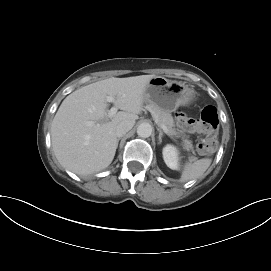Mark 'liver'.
Instances as JSON below:
<instances>
[{
	"instance_id": "liver-1",
	"label": "liver",
	"mask_w": 271,
	"mask_h": 271,
	"mask_svg": "<svg viewBox=\"0 0 271 271\" xmlns=\"http://www.w3.org/2000/svg\"><path fill=\"white\" fill-rule=\"evenodd\" d=\"M154 77H111L68 95L51 125L52 147L60 165L78 175L107 168L118 146L117 125L125 120L135 123L143 108L145 88ZM107 96H113L114 105L122 110L111 120Z\"/></svg>"
}]
</instances>
